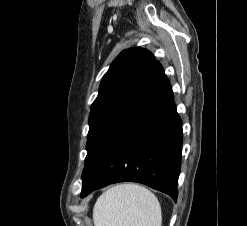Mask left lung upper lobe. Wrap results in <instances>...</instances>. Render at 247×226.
<instances>
[{
    "mask_svg": "<svg viewBox=\"0 0 247 226\" xmlns=\"http://www.w3.org/2000/svg\"><path fill=\"white\" fill-rule=\"evenodd\" d=\"M154 62L153 54L137 47L122 51L113 61L101 81L98 96L91 107L87 152L134 92Z\"/></svg>",
    "mask_w": 247,
    "mask_h": 226,
    "instance_id": "left-lung-upper-lobe-1",
    "label": "left lung upper lobe"
}]
</instances>
